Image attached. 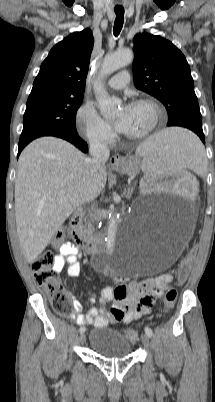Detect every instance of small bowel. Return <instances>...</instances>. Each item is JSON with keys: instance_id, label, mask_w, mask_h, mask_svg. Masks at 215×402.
<instances>
[{"instance_id": "obj_1", "label": "small bowel", "mask_w": 215, "mask_h": 402, "mask_svg": "<svg viewBox=\"0 0 215 402\" xmlns=\"http://www.w3.org/2000/svg\"><path fill=\"white\" fill-rule=\"evenodd\" d=\"M80 252L78 247L65 242L55 258L54 269L60 272L66 266L70 278L80 274L79 263ZM172 280L171 275L163 274L155 278L133 280L117 287H106L101 291L99 306H92L87 314H83V304L72 292L73 311L70 318L79 325H94L95 327H106L110 323H130L148 314L156 300L168 289ZM91 293L90 290H88ZM90 303L95 302L94 296L89 299ZM111 302L112 308L107 310L106 304Z\"/></svg>"}]
</instances>
